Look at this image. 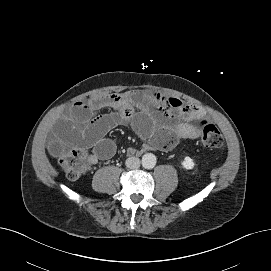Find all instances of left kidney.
<instances>
[{
	"label": "left kidney",
	"mask_w": 271,
	"mask_h": 271,
	"mask_svg": "<svg viewBox=\"0 0 271 271\" xmlns=\"http://www.w3.org/2000/svg\"><path fill=\"white\" fill-rule=\"evenodd\" d=\"M181 165L183 168H185L186 170H191L194 168L195 163L193 161V159H191L190 157H185L182 161H181Z\"/></svg>",
	"instance_id": "1"
}]
</instances>
